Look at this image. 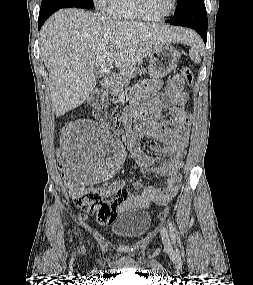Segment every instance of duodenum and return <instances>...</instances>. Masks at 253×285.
Returning <instances> with one entry per match:
<instances>
[{
    "label": "duodenum",
    "mask_w": 253,
    "mask_h": 285,
    "mask_svg": "<svg viewBox=\"0 0 253 285\" xmlns=\"http://www.w3.org/2000/svg\"><path fill=\"white\" fill-rule=\"evenodd\" d=\"M102 88H106L108 86V80H103L101 83ZM103 100L102 90H96L89 97V103L94 108V113L98 117L104 116L103 109L101 107V102Z\"/></svg>",
    "instance_id": "1"
}]
</instances>
